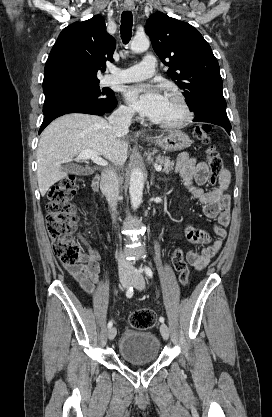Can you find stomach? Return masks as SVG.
Returning a JSON list of instances; mask_svg holds the SVG:
<instances>
[{
    "label": "stomach",
    "mask_w": 272,
    "mask_h": 417,
    "mask_svg": "<svg viewBox=\"0 0 272 417\" xmlns=\"http://www.w3.org/2000/svg\"><path fill=\"white\" fill-rule=\"evenodd\" d=\"M148 142H153L165 151H181L191 145V140L182 131H171L168 135L147 138Z\"/></svg>",
    "instance_id": "1"
}]
</instances>
